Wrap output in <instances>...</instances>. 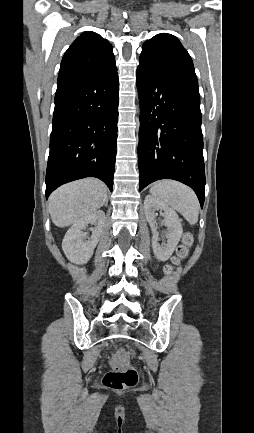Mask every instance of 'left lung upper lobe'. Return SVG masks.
<instances>
[{"mask_svg": "<svg viewBox=\"0 0 254 433\" xmlns=\"http://www.w3.org/2000/svg\"><path fill=\"white\" fill-rule=\"evenodd\" d=\"M139 61L162 73L198 85L190 55L180 41L171 34H158L145 41Z\"/></svg>", "mask_w": 254, "mask_h": 433, "instance_id": "obj_1", "label": "left lung upper lobe"}]
</instances>
